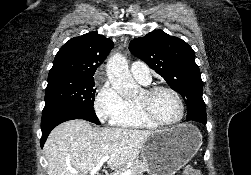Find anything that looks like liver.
Instances as JSON below:
<instances>
[{
    "instance_id": "liver-1",
    "label": "liver",
    "mask_w": 251,
    "mask_h": 175,
    "mask_svg": "<svg viewBox=\"0 0 251 175\" xmlns=\"http://www.w3.org/2000/svg\"><path fill=\"white\" fill-rule=\"evenodd\" d=\"M150 133L146 129L92 127L85 119L64 121L45 141L47 175H87L104 155H111L107 161L110 169H121L139 155Z\"/></svg>"
}]
</instances>
